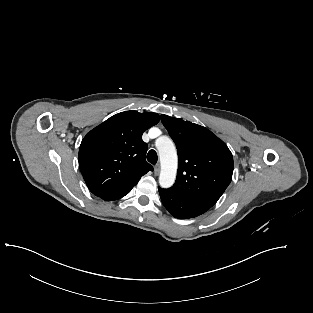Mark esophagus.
Segmentation results:
<instances>
[{"instance_id": "1", "label": "esophagus", "mask_w": 313, "mask_h": 313, "mask_svg": "<svg viewBox=\"0 0 313 313\" xmlns=\"http://www.w3.org/2000/svg\"><path fill=\"white\" fill-rule=\"evenodd\" d=\"M154 172H155V175H159L160 173V165L157 164L155 167H154Z\"/></svg>"}]
</instances>
